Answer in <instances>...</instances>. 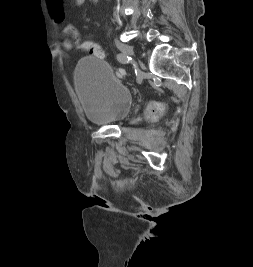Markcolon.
Masks as SVG:
<instances>
[{
	"instance_id": "obj_1",
	"label": "colon",
	"mask_w": 253,
	"mask_h": 267,
	"mask_svg": "<svg viewBox=\"0 0 253 267\" xmlns=\"http://www.w3.org/2000/svg\"><path fill=\"white\" fill-rule=\"evenodd\" d=\"M72 46L74 49H77L79 51H85L90 53L92 56L98 57V58H104V50L103 48L90 40H84L81 38L79 33H73L68 36ZM119 75L125 76V73L123 71L118 72Z\"/></svg>"
}]
</instances>
